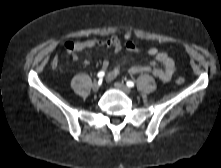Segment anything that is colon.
<instances>
[{"label":"colon","instance_id":"colon-1","mask_svg":"<svg viewBox=\"0 0 221 168\" xmlns=\"http://www.w3.org/2000/svg\"><path fill=\"white\" fill-rule=\"evenodd\" d=\"M120 37L124 40V41H132L134 39V33L130 32V31H121L120 32ZM58 65V60L54 59L52 62V66L56 67ZM177 84H183L184 83V79L183 78H178L176 80Z\"/></svg>","mask_w":221,"mask_h":168}]
</instances>
